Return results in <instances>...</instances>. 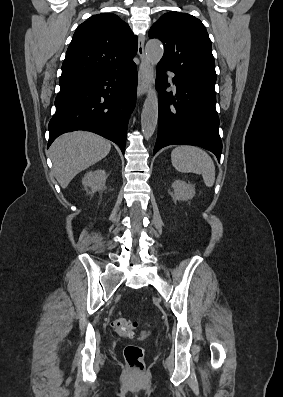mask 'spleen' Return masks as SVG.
<instances>
[{"label":"spleen","mask_w":283,"mask_h":397,"mask_svg":"<svg viewBox=\"0 0 283 397\" xmlns=\"http://www.w3.org/2000/svg\"><path fill=\"white\" fill-rule=\"evenodd\" d=\"M172 165L179 172L201 174L207 187L215 182V165L212 158L201 148L177 146L171 152Z\"/></svg>","instance_id":"3e777b00"}]
</instances>
